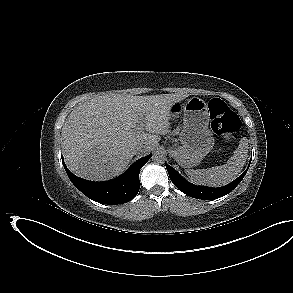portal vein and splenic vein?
Listing matches in <instances>:
<instances>
[{
	"mask_svg": "<svg viewBox=\"0 0 293 293\" xmlns=\"http://www.w3.org/2000/svg\"><path fill=\"white\" fill-rule=\"evenodd\" d=\"M143 127H144V126H143V124L141 123L140 125L137 126V130H138L139 132H143V130H144Z\"/></svg>",
	"mask_w": 293,
	"mask_h": 293,
	"instance_id": "1",
	"label": "portal vein and splenic vein"
}]
</instances>
